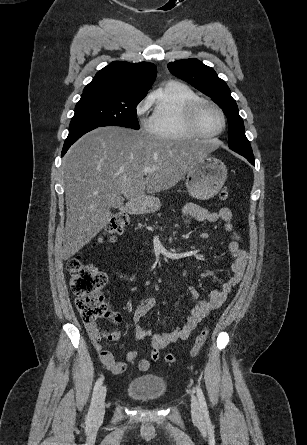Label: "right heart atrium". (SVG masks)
Masks as SVG:
<instances>
[{
	"label": "right heart atrium",
	"instance_id": "right-heart-atrium-1",
	"mask_svg": "<svg viewBox=\"0 0 307 445\" xmlns=\"http://www.w3.org/2000/svg\"><path fill=\"white\" fill-rule=\"evenodd\" d=\"M140 122H141V123H143V122H144V120H143V119H140Z\"/></svg>",
	"mask_w": 307,
	"mask_h": 445
}]
</instances>
